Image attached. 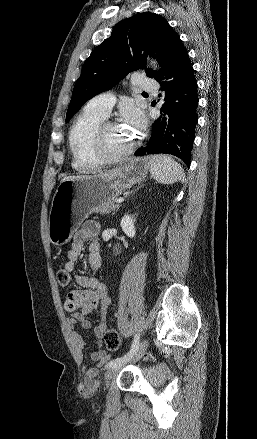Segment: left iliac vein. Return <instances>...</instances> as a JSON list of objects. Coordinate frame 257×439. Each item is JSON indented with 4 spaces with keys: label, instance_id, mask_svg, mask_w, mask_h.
I'll use <instances>...</instances> for the list:
<instances>
[{
    "label": "left iliac vein",
    "instance_id": "1",
    "mask_svg": "<svg viewBox=\"0 0 257 439\" xmlns=\"http://www.w3.org/2000/svg\"><path fill=\"white\" fill-rule=\"evenodd\" d=\"M146 347H147L146 341H142V343L140 344V346H139L137 352L134 354V357L130 358L129 360H132V361L139 360V359L144 355V353H145V351H146ZM129 360H128V361H129ZM128 361H127V362H128ZM127 362H123V363H121V364H119V365H116V366H114V367L109 368V369L106 371V373H105V376H104V377H105V380L108 381V380H111L113 377H115L116 374L118 373L119 369H120L122 366H124Z\"/></svg>",
    "mask_w": 257,
    "mask_h": 439
}]
</instances>
